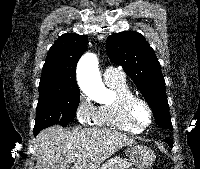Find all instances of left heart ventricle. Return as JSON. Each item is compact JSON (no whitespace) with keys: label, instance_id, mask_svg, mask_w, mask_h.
Masks as SVG:
<instances>
[{"label":"left heart ventricle","instance_id":"obj_1","mask_svg":"<svg viewBox=\"0 0 200 169\" xmlns=\"http://www.w3.org/2000/svg\"><path fill=\"white\" fill-rule=\"evenodd\" d=\"M135 115H136V118L138 120V122L142 125L146 124L149 120V114H148V111L147 109L139 104L137 105L136 109H135Z\"/></svg>","mask_w":200,"mask_h":169}]
</instances>
